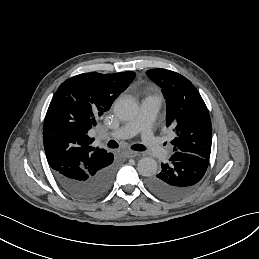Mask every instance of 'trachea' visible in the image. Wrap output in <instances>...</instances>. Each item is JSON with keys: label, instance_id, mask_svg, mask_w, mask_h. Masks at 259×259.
<instances>
[{"label": "trachea", "instance_id": "obj_1", "mask_svg": "<svg viewBox=\"0 0 259 259\" xmlns=\"http://www.w3.org/2000/svg\"><path fill=\"white\" fill-rule=\"evenodd\" d=\"M107 146L109 148H118L119 147L118 143L116 141H114V140L108 141L107 142ZM131 149L135 150V151H144L145 150V146L142 145V144H134V145L131 146Z\"/></svg>", "mask_w": 259, "mask_h": 259}]
</instances>
